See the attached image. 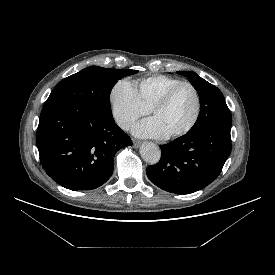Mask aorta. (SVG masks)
Masks as SVG:
<instances>
[{
    "instance_id": "obj_1",
    "label": "aorta",
    "mask_w": 275,
    "mask_h": 275,
    "mask_svg": "<svg viewBox=\"0 0 275 275\" xmlns=\"http://www.w3.org/2000/svg\"><path fill=\"white\" fill-rule=\"evenodd\" d=\"M140 154L144 161L151 165L157 164L161 157L159 147L152 142H145L140 148Z\"/></svg>"
}]
</instances>
